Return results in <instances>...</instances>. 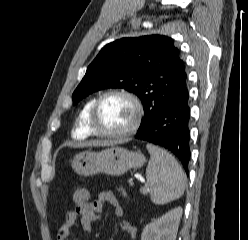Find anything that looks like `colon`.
<instances>
[{"instance_id":"colon-1","label":"colon","mask_w":248,"mask_h":240,"mask_svg":"<svg viewBox=\"0 0 248 240\" xmlns=\"http://www.w3.org/2000/svg\"><path fill=\"white\" fill-rule=\"evenodd\" d=\"M121 193L126 194L123 189H120ZM89 199V191L85 187L79 188L73 195V202L75 205L87 203Z\"/></svg>"}]
</instances>
